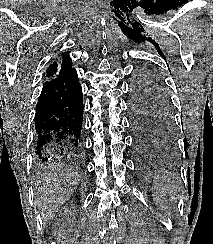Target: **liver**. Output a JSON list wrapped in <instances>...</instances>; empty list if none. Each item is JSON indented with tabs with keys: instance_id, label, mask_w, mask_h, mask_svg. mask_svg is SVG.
<instances>
[{
	"instance_id": "liver-1",
	"label": "liver",
	"mask_w": 213,
	"mask_h": 244,
	"mask_svg": "<svg viewBox=\"0 0 213 244\" xmlns=\"http://www.w3.org/2000/svg\"><path fill=\"white\" fill-rule=\"evenodd\" d=\"M35 204L44 222H49L79 185L78 174L66 167L50 166L37 175Z\"/></svg>"
}]
</instances>
